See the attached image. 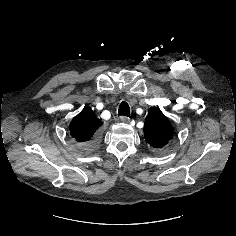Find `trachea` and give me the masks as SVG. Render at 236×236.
I'll list each match as a JSON object with an SVG mask.
<instances>
[{"mask_svg": "<svg viewBox=\"0 0 236 236\" xmlns=\"http://www.w3.org/2000/svg\"><path fill=\"white\" fill-rule=\"evenodd\" d=\"M118 115L127 116V117L130 116V108H129L128 103L122 102L120 104L119 109H118Z\"/></svg>", "mask_w": 236, "mask_h": 236, "instance_id": "trachea-1", "label": "trachea"}]
</instances>
